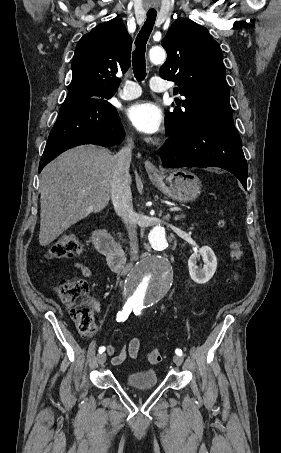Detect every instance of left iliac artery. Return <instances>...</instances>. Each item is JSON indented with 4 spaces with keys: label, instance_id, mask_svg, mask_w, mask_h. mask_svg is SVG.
<instances>
[{
    "label": "left iliac artery",
    "instance_id": "44dca946",
    "mask_svg": "<svg viewBox=\"0 0 281 453\" xmlns=\"http://www.w3.org/2000/svg\"><path fill=\"white\" fill-rule=\"evenodd\" d=\"M143 309L142 305H133V312L135 315L141 314V310ZM176 354L178 356H182V350L181 349H176Z\"/></svg>",
    "mask_w": 281,
    "mask_h": 453
}]
</instances>
